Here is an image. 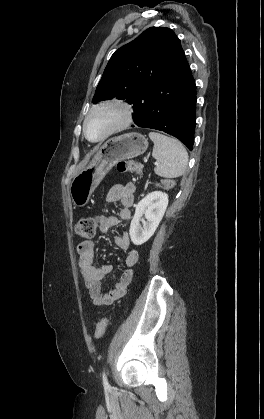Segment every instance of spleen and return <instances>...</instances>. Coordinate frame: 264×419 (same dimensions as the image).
<instances>
[{
  "instance_id": "obj_1",
  "label": "spleen",
  "mask_w": 264,
  "mask_h": 419,
  "mask_svg": "<svg viewBox=\"0 0 264 419\" xmlns=\"http://www.w3.org/2000/svg\"><path fill=\"white\" fill-rule=\"evenodd\" d=\"M149 138L154 142L152 156L158 161L155 173L165 178L182 176L188 165V153L182 143L158 132H150Z\"/></svg>"
}]
</instances>
